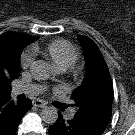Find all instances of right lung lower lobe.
Wrapping results in <instances>:
<instances>
[{
  "label": "right lung lower lobe",
  "mask_w": 135,
  "mask_h": 135,
  "mask_svg": "<svg viewBox=\"0 0 135 135\" xmlns=\"http://www.w3.org/2000/svg\"><path fill=\"white\" fill-rule=\"evenodd\" d=\"M32 108L30 99L11 101L10 95L0 98V135H14L17 127L25 115Z\"/></svg>",
  "instance_id": "obj_1"
}]
</instances>
